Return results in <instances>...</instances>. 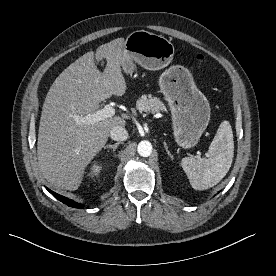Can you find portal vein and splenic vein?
Returning <instances> with one entry per match:
<instances>
[{
	"label": "portal vein and splenic vein",
	"instance_id": "18ae733b",
	"mask_svg": "<svg viewBox=\"0 0 276 276\" xmlns=\"http://www.w3.org/2000/svg\"><path fill=\"white\" fill-rule=\"evenodd\" d=\"M114 115H115V108L110 104H106L104 108L101 110L88 114L84 117H77L76 121L83 122L86 124H93L101 120H104L106 118L112 117Z\"/></svg>",
	"mask_w": 276,
	"mask_h": 276
}]
</instances>
